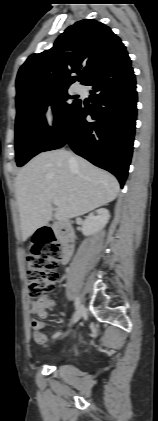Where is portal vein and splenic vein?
<instances>
[{"label": "portal vein and splenic vein", "mask_w": 158, "mask_h": 421, "mask_svg": "<svg viewBox=\"0 0 158 421\" xmlns=\"http://www.w3.org/2000/svg\"><path fill=\"white\" fill-rule=\"evenodd\" d=\"M53 203H54V205H56V206H58L60 203H59V200H57V199H55V200H53Z\"/></svg>", "instance_id": "obj_1"}]
</instances>
